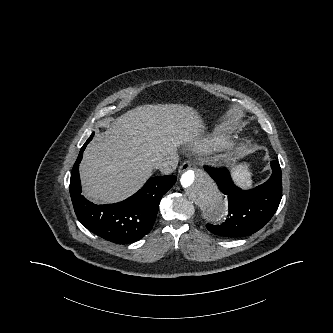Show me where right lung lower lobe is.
Masks as SVG:
<instances>
[{
    "label": "right lung lower lobe",
    "instance_id": "obj_1",
    "mask_svg": "<svg viewBox=\"0 0 333 333\" xmlns=\"http://www.w3.org/2000/svg\"><path fill=\"white\" fill-rule=\"evenodd\" d=\"M80 150L70 179V195L80 223L94 234L117 244L135 242L150 232L156 220L162 196L174 185L176 176L150 178L126 200L107 205H95L81 195L79 163L86 145Z\"/></svg>",
    "mask_w": 333,
    "mask_h": 333
}]
</instances>
